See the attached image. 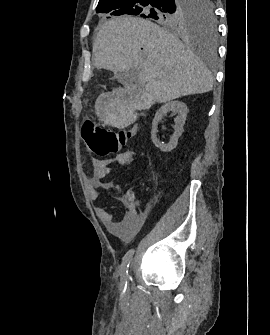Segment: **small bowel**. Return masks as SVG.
<instances>
[{
    "label": "small bowel",
    "mask_w": 270,
    "mask_h": 335,
    "mask_svg": "<svg viewBox=\"0 0 270 335\" xmlns=\"http://www.w3.org/2000/svg\"><path fill=\"white\" fill-rule=\"evenodd\" d=\"M132 151H123L111 159H92L91 172L88 176L90 195L97 197V189H115L118 191V200L124 207V214L120 220H115L114 216L104 208L96 207L97 217L105 224L108 230L122 240H131L141 230L144 224V215L139 212L135 205L134 192L131 188L119 189L112 183H104L102 180L109 171L118 165L128 164L133 161Z\"/></svg>",
    "instance_id": "small-bowel-1"
}]
</instances>
